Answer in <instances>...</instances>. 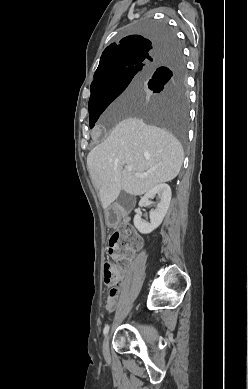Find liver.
<instances>
[{
    "label": "liver",
    "instance_id": "1",
    "mask_svg": "<svg viewBox=\"0 0 248 389\" xmlns=\"http://www.w3.org/2000/svg\"><path fill=\"white\" fill-rule=\"evenodd\" d=\"M134 94L135 85H131L117 104L134 100ZM183 159L182 146L171 133L142 119L128 117L90 151L87 166L92 183L99 190L102 207L106 209L121 190L137 196L173 180ZM125 165H131L132 171L124 169ZM135 173L146 176L136 177Z\"/></svg>",
    "mask_w": 248,
    "mask_h": 389
}]
</instances>
